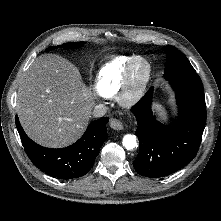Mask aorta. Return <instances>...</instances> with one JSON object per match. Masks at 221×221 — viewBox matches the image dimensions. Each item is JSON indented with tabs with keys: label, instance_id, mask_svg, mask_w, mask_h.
Instances as JSON below:
<instances>
[{
	"label": "aorta",
	"instance_id": "762f6f07",
	"mask_svg": "<svg viewBox=\"0 0 221 221\" xmlns=\"http://www.w3.org/2000/svg\"><path fill=\"white\" fill-rule=\"evenodd\" d=\"M123 146L127 149V150H131L134 149L137 146V140H136V136L132 135V134H126L123 137Z\"/></svg>",
	"mask_w": 221,
	"mask_h": 221
}]
</instances>
